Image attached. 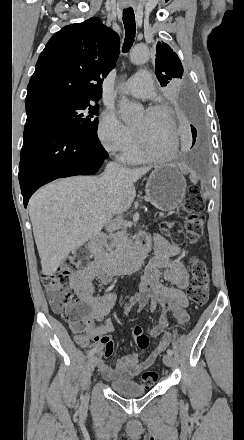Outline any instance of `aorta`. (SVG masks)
Listing matches in <instances>:
<instances>
[{
    "mask_svg": "<svg viewBox=\"0 0 244 440\" xmlns=\"http://www.w3.org/2000/svg\"><path fill=\"white\" fill-rule=\"evenodd\" d=\"M149 55V50L146 47L137 46L131 51L130 60L137 65L143 64L148 60ZM118 106L121 119L128 124L136 121L142 111L141 104L133 102L125 96L120 98Z\"/></svg>",
    "mask_w": 244,
    "mask_h": 440,
    "instance_id": "aorta-1",
    "label": "aorta"
}]
</instances>
